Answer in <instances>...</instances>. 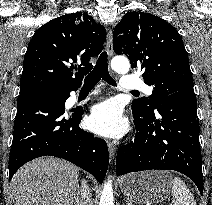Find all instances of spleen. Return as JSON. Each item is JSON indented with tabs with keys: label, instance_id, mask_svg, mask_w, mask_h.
<instances>
[{
	"label": "spleen",
	"instance_id": "3e777b00",
	"mask_svg": "<svg viewBox=\"0 0 212 205\" xmlns=\"http://www.w3.org/2000/svg\"><path fill=\"white\" fill-rule=\"evenodd\" d=\"M172 185L173 201L170 205H196L192 193L181 178L175 177Z\"/></svg>",
	"mask_w": 212,
	"mask_h": 205
}]
</instances>
